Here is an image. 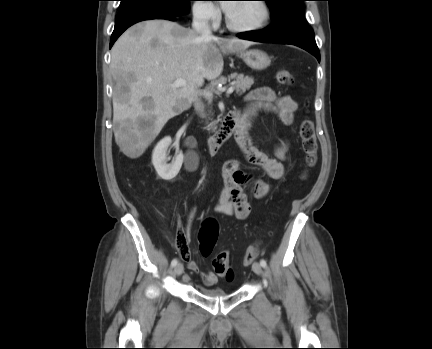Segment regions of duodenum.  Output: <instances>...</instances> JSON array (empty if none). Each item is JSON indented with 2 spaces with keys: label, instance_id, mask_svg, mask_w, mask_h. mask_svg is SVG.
Listing matches in <instances>:
<instances>
[{
  "label": "duodenum",
  "instance_id": "obj_1",
  "mask_svg": "<svg viewBox=\"0 0 432 349\" xmlns=\"http://www.w3.org/2000/svg\"><path fill=\"white\" fill-rule=\"evenodd\" d=\"M241 123V116L238 112H229L221 122L220 129L208 140V150L215 155L221 150L230 137L236 132Z\"/></svg>",
  "mask_w": 432,
  "mask_h": 349
}]
</instances>
